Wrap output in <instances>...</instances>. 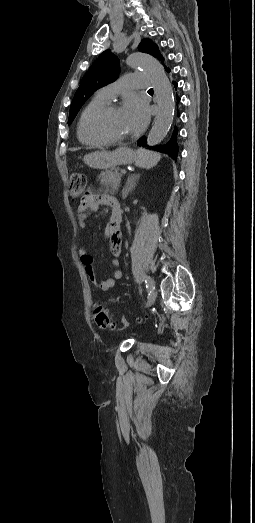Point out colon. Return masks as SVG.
Listing matches in <instances>:
<instances>
[{
    "label": "colon",
    "instance_id": "colon-1",
    "mask_svg": "<svg viewBox=\"0 0 255 523\" xmlns=\"http://www.w3.org/2000/svg\"><path fill=\"white\" fill-rule=\"evenodd\" d=\"M86 179L83 174L74 173L70 180V195L73 200L81 198L83 201L88 194L85 193ZM94 319L96 324L102 329H113L114 321L108 310L102 306H97L94 310Z\"/></svg>",
    "mask_w": 255,
    "mask_h": 523
}]
</instances>
